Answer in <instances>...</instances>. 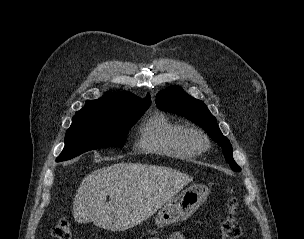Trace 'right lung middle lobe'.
<instances>
[{"label":"right lung middle lobe","instance_id":"right-lung-middle-lobe-1","mask_svg":"<svg viewBox=\"0 0 304 239\" xmlns=\"http://www.w3.org/2000/svg\"><path fill=\"white\" fill-rule=\"evenodd\" d=\"M148 107L128 108L117 114L76 115L57 161L72 159L86 151L108 146L123 147L126 133Z\"/></svg>","mask_w":304,"mask_h":239}]
</instances>
